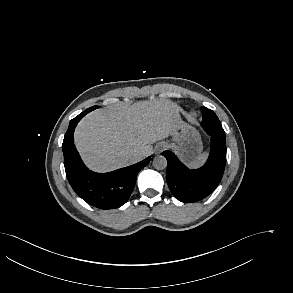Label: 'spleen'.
Segmentation results:
<instances>
[{"label": "spleen", "mask_w": 293, "mask_h": 293, "mask_svg": "<svg viewBox=\"0 0 293 293\" xmlns=\"http://www.w3.org/2000/svg\"><path fill=\"white\" fill-rule=\"evenodd\" d=\"M206 158H207L206 153L200 154L197 157V159L190 164V167H192V168L200 167L201 165H203V163L205 162Z\"/></svg>", "instance_id": "3e777b00"}]
</instances>
